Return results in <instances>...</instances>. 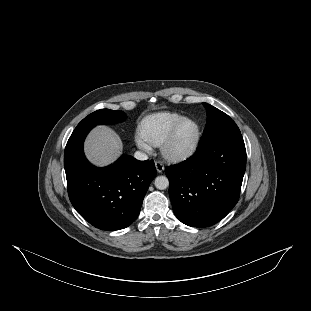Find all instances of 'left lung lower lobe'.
I'll list each match as a JSON object with an SVG mask.
<instances>
[{"mask_svg":"<svg viewBox=\"0 0 311 311\" xmlns=\"http://www.w3.org/2000/svg\"><path fill=\"white\" fill-rule=\"evenodd\" d=\"M246 149L241 133L217 136L198 146L187 161L166 168L176 217L192 227H208L236 205Z\"/></svg>","mask_w":311,"mask_h":311,"instance_id":"1","label":"left lung lower lobe"}]
</instances>
